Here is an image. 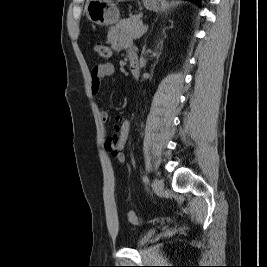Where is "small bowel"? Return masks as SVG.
<instances>
[{"instance_id": "obj_1", "label": "small bowel", "mask_w": 267, "mask_h": 267, "mask_svg": "<svg viewBox=\"0 0 267 267\" xmlns=\"http://www.w3.org/2000/svg\"><path fill=\"white\" fill-rule=\"evenodd\" d=\"M108 42L115 49H128L129 57L137 56L132 49L130 42L121 37L117 28L110 29L107 35ZM115 71L112 63H101L96 65L91 72V92L93 95H98L101 88L102 79L113 75ZM100 118L103 122L109 120V113L106 110H100ZM115 135L108 137L105 141V149L114 155L119 162L124 161L123 149L128 140L130 132V121L123 116H116L114 120Z\"/></svg>"}]
</instances>
